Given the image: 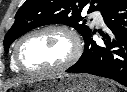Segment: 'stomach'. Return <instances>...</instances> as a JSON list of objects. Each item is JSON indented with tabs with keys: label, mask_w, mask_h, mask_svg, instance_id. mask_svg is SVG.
<instances>
[{
	"label": "stomach",
	"mask_w": 127,
	"mask_h": 92,
	"mask_svg": "<svg viewBox=\"0 0 127 92\" xmlns=\"http://www.w3.org/2000/svg\"><path fill=\"white\" fill-rule=\"evenodd\" d=\"M30 92H114L108 83L84 74H58L25 83ZM19 87H9L5 92H14Z\"/></svg>",
	"instance_id": "1"
}]
</instances>
